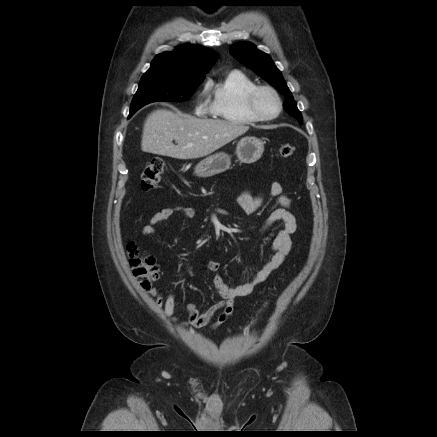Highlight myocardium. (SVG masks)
Returning <instances> with one entry per match:
<instances>
[{
	"label": "myocardium",
	"mask_w": 437,
	"mask_h": 437,
	"mask_svg": "<svg viewBox=\"0 0 437 437\" xmlns=\"http://www.w3.org/2000/svg\"><path fill=\"white\" fill-rule=\"evenodd\" d=\"M264 91L271 93L275 97L277 104H278V109H277L276 113L272 116H265V115L261 114L259 112V110L257 109V104H256L257 98H258L259 94L264 92ZM246 106H247V109H248V112L250 113V115L254 119H256L257 121H271V120L276 119L281 114L282 109H283V102H282V99H281V97L276 89H274L273 87L268 86V85H259V86H256L255 88H253L248 93L247 98H246Z\"/></svg>",
	"instance_id": "myocardium-1"
}]
</instances>
